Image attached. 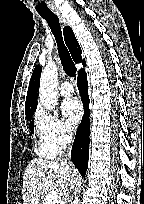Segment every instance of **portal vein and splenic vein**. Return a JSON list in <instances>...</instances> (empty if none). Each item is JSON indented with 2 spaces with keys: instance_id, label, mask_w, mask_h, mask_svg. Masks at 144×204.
<instances>
[{
  "instance_id": "1",
  "label": "portal vein and splenic vein",
  "mask_w": 144,
  "mask_h": 204,
  "mask_svg": "<svg viewBox=\"0 0 144 204\" xmlns=\"http://www.w3.org/2000/svg\"><path fill=\"white\" fill-rule=\"evenodd\" d=\"M58 201V193L51 191L45 198V204H56Z\"/></svg>"
}]
</instances>
